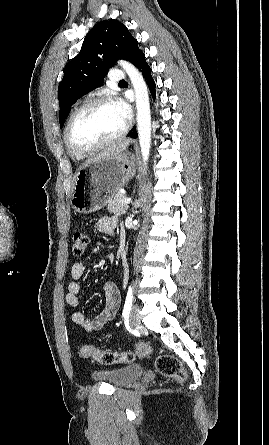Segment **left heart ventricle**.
I'll list each match as a JSON object with an SVG mask.
<instances>
[{
    "label": "left heart ventricle",
    "instance_id": "b2bd125f",
    "mask_svg": "<svg viewBox=\"0 0 269 445\" xmlns=\"http://www.w3.org/2000/svg\"><path fill=\"white\" fill-rule=\"evenodd\" d=\"M125 124L113 103L97 105L74 120L70 140L79 149H89L117 135Z\"/></svg>",
    "mask_w": 269,
    "mask_h": 445
}]
</instances>
